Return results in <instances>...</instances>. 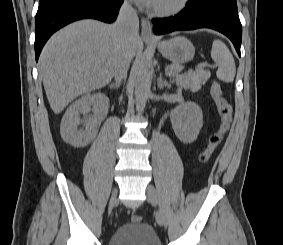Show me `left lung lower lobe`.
<instances>
[{
	"instance_id": "obj_1",
	"label": "left lung lower lobe",
	"mask_w": 283,
	"mask_h": 245,
	"mask_svg": "<svg viewBox=\"0 0 283 245\" xmlns=\"http://www.w3.org/2000/svg\"><path fill=\"white\" fill-rule=\"evenodd\" d=\"M155 34H165L177 30L211 28L226 35L234 44L240 56L242 26L238 12L220 8H190L186 6L174 17L152 20Z\"/></svg>"
}]
</instances>
